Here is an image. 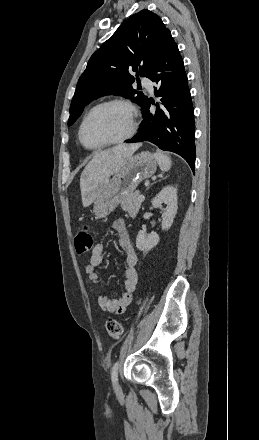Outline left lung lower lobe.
Here are the masks:
<instances>
[{
	"instance_id": "left-lung-lower-lobe-1",
	"label": "left lung lower lobe",
	"mask_w": 259,
	"mask_h": 440,
	"mask_svg": "<svg viewBox=\"0 0 259 440\" xmlns=\"http://www.w3.org/2000/svg\"><path fill=\"white\" fill-rule=\"evenodd\" d=\"M148 78L158 85L154 93L160 97V105L157 104L156 113L152 114L148 100L140 130L127 143L149 141L161 150L177 153L194 172V110L184 63L171 34L166 37Z\"/></svg>"
}]
</instances>
